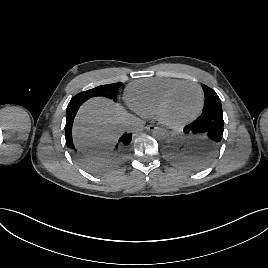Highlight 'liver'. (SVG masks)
Returning a JSON list of instances; mask_svg holds the SVG:
<instances>
[{
	"label": "liver",
	"instance_id": "obj_1",
	"mask_svg": "<svg viewBox=\"0 0 268 268\" xmlns=\"http://www.w3.org/2000/svg\"><path fill=\"white\" fill-rule=\"evenodd\" d=\"M128 113L119 104L104 98H93L82 105L75 120V142L91 147L115 141L126 130Z\"/></svg>",
	"mask_w": 268,
	"mask_h": 268
}]
</instances>
